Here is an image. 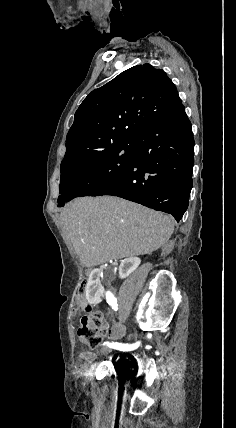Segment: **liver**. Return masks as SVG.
Wrapping results in <instances>:
<instances>
[{
    "mask_svg": "<svg viewBox=\"0 0 236 428\" xmlns=\"http://www.w3.org/2000/svg\"><path fill=\"white\" fill-rule=\"evenodd\" d=\"M65 234L85 268L152 254L169 240L170 216L122 198H76L60 214Z\"/></svg>",
    "mask_w": 236,
    "mask_h": 428,
    "instance_id": "1",
    "label": "liver"
}]
</instances>
